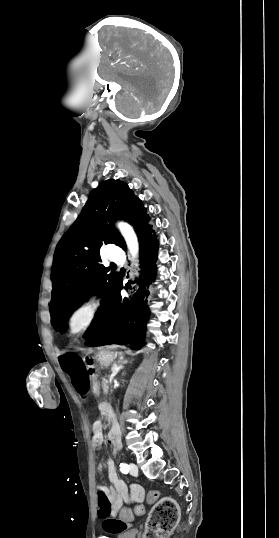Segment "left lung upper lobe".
Segmentation results:
<instances>
[{
  "instance_id": "obj_1",
  "label": "left lung upper lobe",
  "mask_w": 279,
  "mask_h": 538,
  "mask_svg": "<svg viewBox=\"0 0 279 538\" xmlns=\"http://www.w3.org/2000/svg\"><path fill=\"white\" fill-rule=\"evenodd\" d=\"M132 224L140 238L148 225L142 201L120 180H107L94 189L63 239L57 244L52 266V324L60 332L68 315L89 297L100 293L102 306L84 336L96 333L115 309L114 295L120 281L100 258L103 244L114 243L124 250L126 244L114 227V220Z\"/></svg>"
}]
</instances>
